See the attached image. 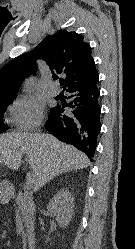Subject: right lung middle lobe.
<instances>
[{"instance_id":"dd1d6c3e","label":"right lung middle lobe","mask_w":135,"mask_h":249,"mask_svg":"<svg viewBox=\"0 0 135 249\" xmlns=\"http://www.w3.org/2000/svg\"><path fill=\"white\" fill-rule=\"evenodd\" d=\"M15 97H11V98H7V99H4V100H1L0 101V133L1 132H4L6 131V127L2 124L1 122V119L3 117V113L4 111L6 110L7 106L12 103V100L14 99Z\"/></svg>"}]
</instances>
